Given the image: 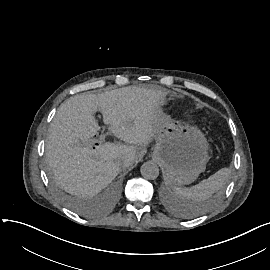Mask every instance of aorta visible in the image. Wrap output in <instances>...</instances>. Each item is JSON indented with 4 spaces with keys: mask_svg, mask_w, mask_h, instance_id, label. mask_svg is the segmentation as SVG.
Wrapping results in <instances>:
<instances>
[{
    "mask_svg": "<svg viewBox=\"0 0 270 270\" xmlns=\"http://www.w3.org/2000/svg\"><path fill=\"white\" fill-rule=\"evenodd\" d=\"M141 174L145 179H156L159 175L158 166L152 162L147 161L141 166Z\"/></svg>",
    "mask_w": 270,
    "mask_h": 270,
    "instance_id": "762f6f07",
    "label": "aorta"
}]
</instances>
